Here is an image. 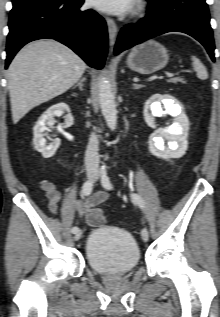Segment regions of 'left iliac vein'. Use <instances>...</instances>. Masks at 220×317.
<instances>
[{"mask_svg":"<svg viewBox=\"0 0 220 317\" xmlns=\"http://www.w3.org/2000/svg\"><path fill=\"white\" fill-rule=\"evenodd\" d=\"M141 237H142V240L145 241V242H147L149 240V232H148L146 227H144L141 230Z\"/></svg>","mask_w":220,"mask_h":317,"instance_id":"1","label":"left iliac vein"}]
</instances>
